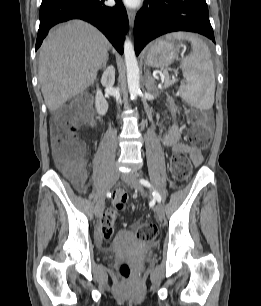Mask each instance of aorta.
Segmentation results:
<instances>
[{"label":"aorta","mask_w":261,"mask_h":306,"mask_svg":"<svg viewBox=\"0 0 261 306\" xmlns=\"http://www.w3.org/2000/svg\"><path fill=\"white\" fill-rule=\"evenodd\" d=\"M124 57L127 71L128 89L131 99L138 96L139 88V67L132 42L126 38L124 42Z\"/></svg>","instance_id":"aorta-1"}]
</instances>
